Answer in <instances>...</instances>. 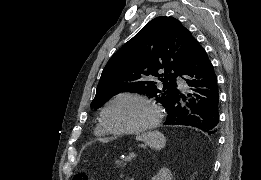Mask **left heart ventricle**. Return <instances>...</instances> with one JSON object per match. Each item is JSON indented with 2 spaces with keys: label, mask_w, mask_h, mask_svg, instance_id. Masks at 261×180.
<instances>
[{
  "label": "left heart ventricle",
  "mask_w": 261,
  "mask_h": 180,
  "mask_svg": "<svg viewBox=\"0 0 261 180\" xmlns=\"http://www.w3.org/2000/svg\"><path fill=\"white\" fill-rule=\"evenodd\" d=\"M150 106L137 98L116 101L107 112L110 126L119 132L141 130L150 117Z\"/></svg>",
  "instance_id": "obj_1"
}]
</instances>
